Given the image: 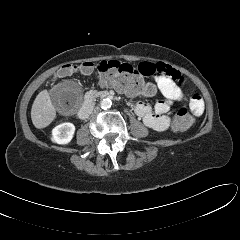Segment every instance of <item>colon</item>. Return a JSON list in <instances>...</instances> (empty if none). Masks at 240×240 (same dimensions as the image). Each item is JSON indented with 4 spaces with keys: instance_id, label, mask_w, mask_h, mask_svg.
Masks as SVG:
<instances>
[{
    "instance_id": "5ec220e1",
    "label": "colon",
    "mask_w": 240,
    "mask_h": 240,
    "mask_svg": "<svg viewBox=\"0 0 240 240\" xmlns=\"http://www.w3.org/2000/svg\"><path fill=\"white\" fill-rule=\"evenodd\" d=\"M80 72L84 75L96 74L101 82L110 84L119 91L129 95H142L146 97L155 94V86L146 82L138 67L116 60L102 61L100 63L86 62L80 65L67 64L62 66L58 77L72 75ZM194 119L186 108H181L173 117V128L183 131L189 128Z\"/></svg>"
}]
</instances>
